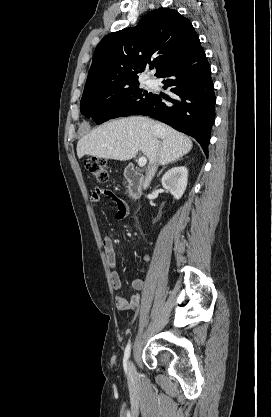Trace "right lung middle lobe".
<instances>
[{
    "label": "right lung middle lobe",
    "mask_w": 272,
    "mask_h": 417,
    "mask_svg": "<svg viewBox=\"0 0 272 417\" xmlns=\"http://www.w3.org/2000/svg\"><path fill=\"white\" fill-rule=\"evenodd\" d=\"M152 96L153 93L139 84L114 92L83 94L80 110L84 116L101 124L109 119L135 114Z\"/></svg>",
    "instance_id": "1"
}]
</instances>
